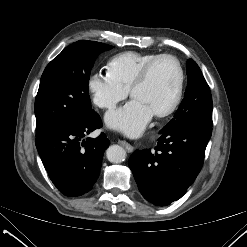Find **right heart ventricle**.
Returning a JSON list of instances; mask_svg holds the SVG:
<instances>
[{"instance_id": "e07e8e85", "label": "right heart ventricle", "mask_w": 247, "mask_h": 247, "mask_svg": "<svg viewBox=\"0 0 247 247\" xmlns=\"http://www.w3.org/2000/svg\"><path fill=\"white\" fill-rule=\"evenodd\" d=\"M155 56L156 54L152 53L123 52L117 54L108 62V70L122 86L130 89L133 80L142 67Z\"/></svg>"}]
</instances>
